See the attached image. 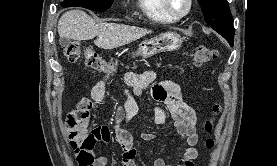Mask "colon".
Instances as JSON below:
<instances>
[{
    "label": "colon",
    "mask_w": 277,
    "mask_h": 166,
    "mask_svg": "<svg viewBox=\"0 0 277 166\" xmlns=\"http://www.w3.org/2000/svg\"><path fill=\"white\" fill-rule=\"evenodd\" d=\"M64 54L68 62L74 63L79 60L81 55L84 56L86 66L106 74H112L115 71V63L101 57L91 48H82L78 42H69L64 46ZM218 57V51L210 46H199L192 51V63L195 67L203 66ZM222 107L219 104L214 105L213 115L205 123V130L210 135L206 140V147L212 149L215 140L211 136L215 129V122L220 115ZM84 115L77 113L75 119L67 126L68 135L72 147L78 153L80 145L85 141L87 136V125H85ZM81 166L89 162V158L78 156Z\"/></svg>",
    "instance_id": "5ec220e1"
}]
</instances>
